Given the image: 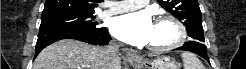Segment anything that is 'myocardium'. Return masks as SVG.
<instances>
[{"instance_id":"obj_1","label":"myocardium","mask_w":246,"mask_h":69,"mask_svg":"<svg viewBox=\"0 0 246 69\" xmlns=\"http://www.w3.org/2000/svg\"><path fill=\"white\" fill-rule=\"evenodd\" d=\"M156 22H167L173 26L176 32V37L175 39L167 44H162V45H148L149 49L154 50V51H165V50H171L174 48H177L181 46L186 39V30L184 25L179 21L177 18H175L172 15H161L157 17L155 20Z\"/></svg>"}]
</instances>
